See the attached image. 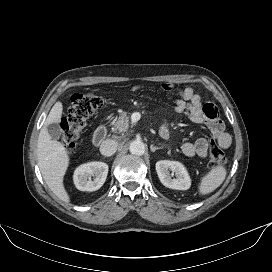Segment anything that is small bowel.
<instances>
[{
    "label": "small bowel",
    "instance_id": "c3829d8e",
    "mask_svg": "<svg viewBox=\"0 0 272 272\" xmlns=\"http://www.w3.org/2000/svg\"><path fill=\"white\" fill-rule=\"evenodd\" d=\"M143 88L141 84L131 87L132 92H138ZM161 88L165 92H174L178 98L174 101V111L186 115L190 121L196 124H204L210 131L213 138L223 148H228L231 144L230 135L225 132V127L218 115L217 107L214 103L202 104V99L192 87H177L171 83H163ZM159 133L161 137L168 138L169 128L167 123H163ZM209 141L205 137H200L196 141H184L181 145L182 152L189 157H207Z\"/></svg>",
    "mask_w": 272,
    "mask_h": 272
}]
</instances>
